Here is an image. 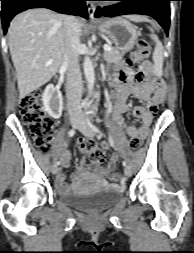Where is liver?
I'll use <instances>...</instances> for the list:
<instances>
[{
    "label": "liver",
    "mask_w": 194,
    "mask_h": 253,
    "mask_svg": "<svg viewBox=\"0 0 194 253\" xmlns=\"http://www.w3.org/2000/svg\"><path fill=\"white\" fill-rule=\"evenodd\" d=\"M65 15L49 9H30L18 14L8 29V45L17 72L20 99L47 83L63 63L66 49ZM131 21H148L142 15H128ZM81 29L82 19H77ZM52 59L50 65L47 61Z\"/></svg>",
    "instance_id": "1"
}]
</instances>
